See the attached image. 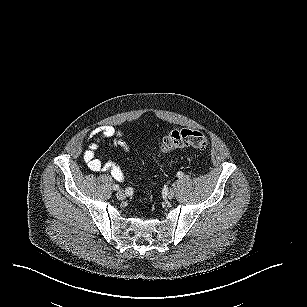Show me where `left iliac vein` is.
<instances>
[{
	"label": "left iliac vein",
	"instance_id": "obj_1",
	"mask_svg": "<svg viewBox=\"0 0 307 307\" xmlns=\"http://www.w3.org/2000/svg\"><path fill=\"white\" fill-rule=\"evenodd\" d=\"M166 196H167L168 199H173L174 196H175V191H174V189L168 190L167 193H166Z\"/></svg>",
	"mask_w": 307,
	"mask_h": 307
}]
</instances>
